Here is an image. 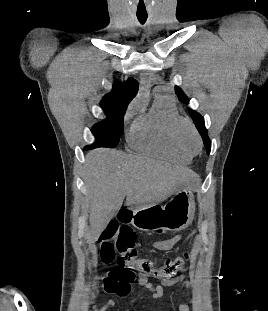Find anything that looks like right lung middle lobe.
<instances>
[{
  "label": "right lung middle lobe",
  "instance_id": "dd1d6c3e",
  "mask_svg": "<svg viewBox=\"0 0 268 311\" xmlns=\"http://www.w3.org/2000/svg\"><path fill=\"white\" fill-rule=\"evenodd\" d=\"M107 118L97 123L91 129L95 137V142L92 145L85 146L84 150H89L97 147L115 148L121 134L123 133V119L125 111L112 110L101 106Z\"/></svg>",
  "mask_w": 268,
  "mask_h": 311
}]
</instances>
